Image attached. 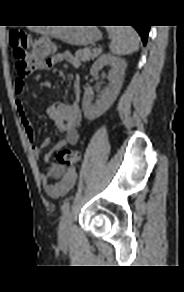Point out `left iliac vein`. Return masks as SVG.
Returning a JSON list of instances; mask_svg holds the SVG:
<instances>
[{"label": "left iliac vein", "mask_w": 184, "mask_h": 292, "mask_svg": "<svg viewBox=\"0 0 184 292\" xmlns=\"http://www.w3.org/2000/svg\"><path fill=\"white\" fill-rule=\"evenodd\" d=\"M72 229H73L72 215L70 213H67L64 215L59 225V240L60 241L67 240L71 235Z\"/></svg>", "instance_id": "left-iliac-vein-1"}]
</instances>
